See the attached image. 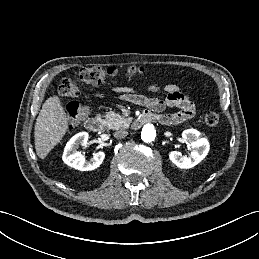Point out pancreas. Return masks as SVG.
Segmentation results:
<instances>
[{
    "mask_svg": "<svg viewBox=\"0 0 259 259\" xmlns=\"http://www.w3.org/2000/svg\"><path fill=\"white\" fill-rule=\"evenodd\" d=\"M104 118V123L109 129H119V128H128L132 119L121 116L120 114L109 111L105 115H102Z\"/></svg>",
    "mask_w": 259,
    "mask_h": 259,
    "instance_id": "obj_1",
    "label": "pancreas"
}]
</instances>
